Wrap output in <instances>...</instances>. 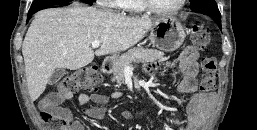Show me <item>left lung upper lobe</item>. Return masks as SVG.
Segmentation results:
<instances>
[{
	"instance_id": "1",
	"label": "left lung upper lobe",
	"mask_w": 257,
	"mask_h": 130,
	"mask_svg": "<svg viewBox=\"0 0 257 130\" xmlns=\"http://www.w3.org/2000/svg\"><path fill=\"white\" fill-rule=\"evenodd\" d=\"M191 9L209 15L211 17H221L215 0H190Z\"/></svg>"
}]
</instances>
